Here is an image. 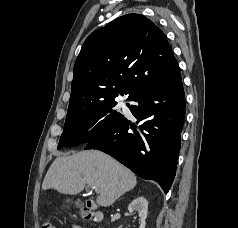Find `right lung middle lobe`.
Returning <instances> with one entry per match:
<instances>
[{
  "label": "right lung middle lobe",
  "instance_id": "right-lung-middle-lobe-1",
  "mask_svg": "<svg viewBox=\"0 0 238 228\" xmlns=\"http://www.w3.org/2000/svg\"><path fill=\"white\" fill-rule=\"evenodd\" d=\"M117 102L103 101L68 113L58 149L88 143L123 119L115 110Z\"/></svg>",
  "mask_w": 238,
  "mask_h": 228
}]
</instances>
